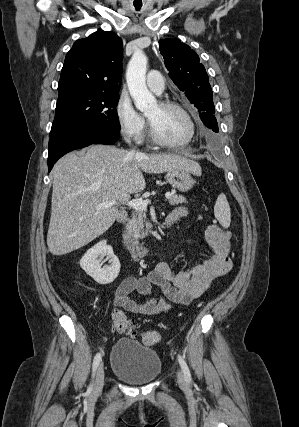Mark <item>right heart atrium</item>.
Listing matches in <instances>:
<instances>
[{
	"mask_svg": "<svg viewBox=\"0 0 299 427\" xmlns=\"http://www.w3.org/2000/svg\"><path fill=\"white\" fill-rule=\"evenodd\" d=\"M116 119L120 133L128 140L140 142L146 133L144 118L135 110L131 100L121 95L115 107Z\"/></svg>",
	"mask_w": 299,
	"mask_h": 427,
	"instance_id": "1",
	"label": "right heart atrium"
}]
</instances>
